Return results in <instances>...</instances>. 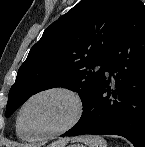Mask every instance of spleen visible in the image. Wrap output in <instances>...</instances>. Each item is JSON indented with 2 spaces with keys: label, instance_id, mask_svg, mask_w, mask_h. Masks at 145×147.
<instances>
[{
  "label": "spleen",
  "instance_id": "spleen-1",
  "mask_svg": "<svg viewBox=\"0 0 145 147\" xmlns=\"http://www.w3.org/2000/svg\"><path fill=\"white\" fill-rule=\"evenodd\" d=\"M79 141L85 143L88 147H107L106 141L99 136H82Z\"/></svg>",
  "mask_w": 145,
  "mask_h": 147
}]
</instances>
